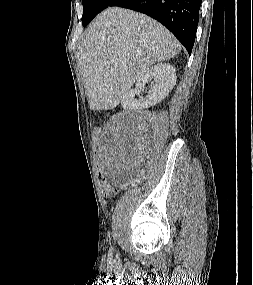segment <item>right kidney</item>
I'll list each match as a JSON object with an SVG mask.
<instances>
[{
    "mask_svg": "<svg viewBox=\"0 0 253 285\" xmlns=\"http://www.w3.org/2000/svg\"><path fill=\"white\" fill-rule=\"evenodd\" d=\"M151 89L149 94L140 100L134 97L151 81ZM176 84L175 68L169 63H158L147 68L139 77L135 89H131L125 94L122 100V106L129 110H141L152 107L160 103L173 89Z\"/></svg>",
    "mask_w": 253,
    "mask_h": 285,
    "instance_id": "right-kidney-1",
    "label": "right kidney"
}]
</instances>
